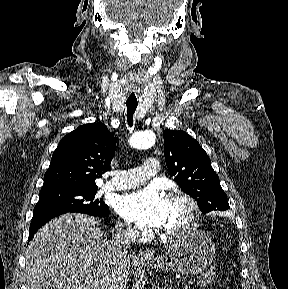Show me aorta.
<instances>
[{
  "label": "aorta",
  "mask_w": 288,
  "mask_h": 289,
  "mask_svg": "<svg viewBox=\"0 0 288 289\" xmlns=\"http://www.w3.org/2000/svg\"><path fill=\"white\" fill-rule=\"evenodd\" d=\"M129 142L133 148H149L155 143V135L150 131L136 132Z\"/></svg>",
  "instance_id": "762f6f07"
}]
</instances>
